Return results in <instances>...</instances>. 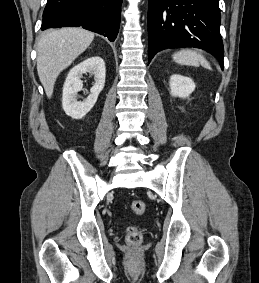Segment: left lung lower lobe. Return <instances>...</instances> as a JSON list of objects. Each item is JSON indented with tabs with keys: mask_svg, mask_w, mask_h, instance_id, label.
<instances>
[{
	"mask_svg": "<svg viewBox=\"0 0 259 283\" xmlns=\"http://www.w3.org/2000/svg\"><path fill=\"white\" fill-rule=\"evenodd\" d=\"M219 0H149L148 61L167 48L194 47L213 54L223 69Z\"/></svg>",
	"mask_w": 259,
	"mask_h": 283,
	"instance_id": "0a47b994",
	"label": "left lung lower lobe"
}]
</instances>
